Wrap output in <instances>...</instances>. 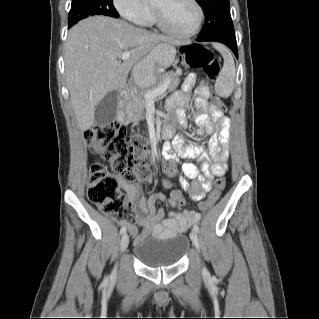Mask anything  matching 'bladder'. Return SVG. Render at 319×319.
<instances>
[{"instance_id":"1","label":"bladder","mask_w":319,"mask_h":319,"mask_svg":"<svg viewBox=\"0 0 319 319\" xmlns=\"http://www.w3.org/2000/svg\"><path fill=\"white\" fill-rule=\"evenodd\" d=\"M190 248V239L184 234L170 237L148 235L135 243L134 256L147 267H163L179 263Z\"/></svg>"}]
</instances>
